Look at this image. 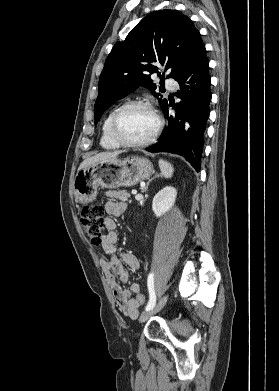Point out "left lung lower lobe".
I'll use <instances>...</instances> for the list:
<instances>
[{"mask_svg": "<svg viewBox=\"0 0 279 391\" xmlns=\"http://www.w3.org/2000/svg\"><path fill=\"white\" fill-rule=\"evenodd\" d=\"M209 61L205 46L200 49L190 67L176 80L180 90L176 96L181 99L176 105L170 103L162 110L169 120L159 141L146 148L149 152H170L179 154L200 171V160L204 145V132L210 114L211 100ZM169 106L175 114L169 113Z\"/></svg>", "mask_w": 279, "mask_h": 391, "instance_id": "obj_1", "label": "left lung lower lobe"}]
</instances>
